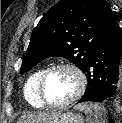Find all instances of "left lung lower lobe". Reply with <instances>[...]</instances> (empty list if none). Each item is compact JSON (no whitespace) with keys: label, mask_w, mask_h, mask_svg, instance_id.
Wrapping results in <instances>:
<instances>
[{"label":"left lung lower lobe","mask_w":122,"mask_h":123,"mask_svg":"<svg viewBox=\"0 0 122 123\" xmlns=\"http://www.w3.org/2000/svg\"><path fill=\"white\" fill-rule=\"evenodd\" d=\"M122 37L115 21L92 52L84 69L87 88L78 103L114 101L119 95Z\"/></svg>","instance_id":"left-lung-lower-lobe-1"}]
</instances>
